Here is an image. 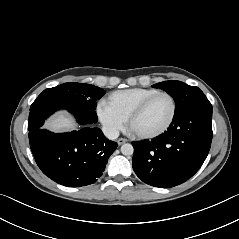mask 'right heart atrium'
I'll return each instance as SVG.
<instances>
[{"label": "right heart atrium", "mask_w": 239, "mask_h": 239, "mask_svg": "<svg viewBox=\"0 0 239 239\" xmlns=\"http://www.w3.org/2000/svg\"><path fill=\"white\" fill-rule=\"evenodd\" d=\"M97 113L106 130L112 135L117 134L125 124V119L111 110L104 102L99 104Z\"/></svg>", "instance_id": "1"}]
</instances>
